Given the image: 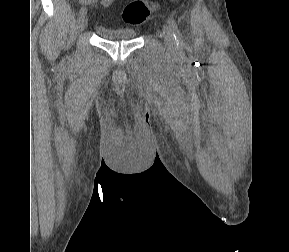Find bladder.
I'll return each instance as SVG.
<instances>
[{"label":"bladder","instance_id":"31cf9c89","mask_svg":"<svg viewBox=\"0 0 289 252\" xmlns=\"http://www.w3.org/2000/svg\"><path fill=\"white\" fill-rule=\"evenodd\" d=\"M97 35L109 41H128L136 38L137 32L130 28L96 27Z\"/></svg>","mask_w":289,"mask_h":252}]
</instances>
